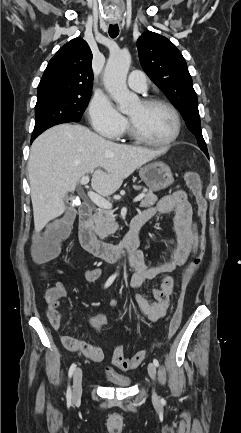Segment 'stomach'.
I'll use <instances>...</instances> for the list:
<instances>
[{"label": "stomach", "instance_id": "obj_1", "mask_svg": "<svg viewBox=\"0 0 241 433\" xmlns=\"http://www.w3.org/2000/svg\"><path fill=\"white\" fill-rule=\"evenodd\" d=\"M139 175L150 191H159L174 183L172 171L163 162H153L140 167Z\"/></svg>", "mask_w": 241, "mask_h": 433}]
</instances>
